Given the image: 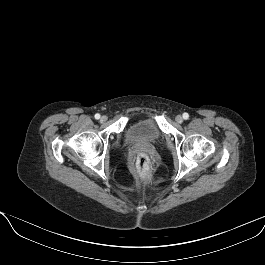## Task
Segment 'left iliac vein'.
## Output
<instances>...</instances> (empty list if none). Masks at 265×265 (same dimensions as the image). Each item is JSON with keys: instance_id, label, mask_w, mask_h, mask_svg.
I'll return each instance as SVG.
<instances>
[{"instance_id": "1", "label": "left iliac vein", "mask_w": 265, "mask_h": 265, "mask_svg": "<svg viewBox=\"0 0 265 265\" xmlns=\"http://www.w3.org/2000/svg\"><path fill=\"white\" fill-rule=\"evenodd\" d=\"M177 123H182L183 122V117L181 115H177L175 118Z\"/></svg>"}]
</instances>
